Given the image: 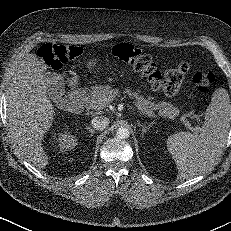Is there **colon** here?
<instances>
[{
	"label": "colon",
	"instance_id": "1",
	"mask_svg": "<svg viewBox=\"0 0 231 231\" xmlns=\"http://www.w3.org/2000/svg\"><path fill=\"white\" fill-rule=\"evenodd\" d=\"M82 53L81 48L64 44H44L39 51L45 64L54 70H60L64 64L79 57ZM112 54L144 75L151 84L159 85L170 96L179 92L184 77L189 71V64L180 62L161 73L149 54L128 43L113 46ZM214 81L215 75L212 72L197 71L192 76V82L199 93H206ZM50 92L62 107L63 89L61 84L54 83Z\"/></svg>",
	"mask_w": 231,
	"mask_h": 231
}]
</instances>
